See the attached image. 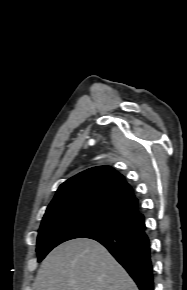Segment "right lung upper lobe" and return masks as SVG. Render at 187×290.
<instances>
[{
	"instance_id": "1",
	"label": "right lung upper lobe",
	"mask_w": 187,
	"mask_h": 290,
	"mask_svg": "<svg viewBox=\"0 0 187 290\" xmlns=\"http://www.w3.org/2000/svg\"><path fill=\"white\" fill-rule=\"evenodd\" d=\"M138 200L123 176L109 166L85 170L65 181L49 204L45 215L82 206L104 207L135 224L143 215Z\"/></svg>"
}]
</instances>
